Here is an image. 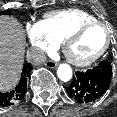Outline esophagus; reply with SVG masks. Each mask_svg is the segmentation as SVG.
Segmentation results:
<instances>
[{"label":"esophagus","mask_w":117,"mask_h":117,"mask_svg":"<svg viewBox=\"0 0 117 117\" xmlns=\"http://www.w3.org/2000/svg\"><path fill=\"white\" fill-rule=\"evenodd\" d=\"M57 65H58L57 62H54V61H51V60H49L45 63V66L48 67V68H51V69L57 67Z\"/></svg>","instance_id":"34e87169"}]
</instances>
